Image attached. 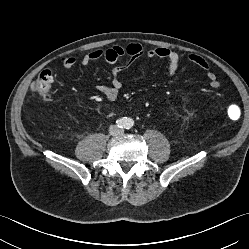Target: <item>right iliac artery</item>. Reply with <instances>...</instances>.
Instances as JSON below:
<instances>
[{
    "mask_svg": "<svg viewBox=\"0 0 249 249\" xmlns=\"http://www.w3.org/2000/svg\"><path fill=\"white\" fill-rule=\"evenodd\" d=\"M116 124H117L118 127L123 128V127L126 126V120H125L124 118L118 119V120L116 121Z\"/></svg>",
    "mask_w": 249,
    "mask_h": 249,
    "instance_id": "right-iliac-artery-1",
    "label": "right iliac artery"
}]
</instances>
